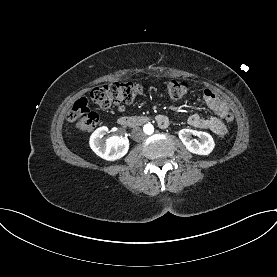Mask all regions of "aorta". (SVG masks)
Returning a JSON list of instances; mask_svg holds the SVG:
<instances>
[{"label": "aorta", "mask_w": 277, "mask_h": 277, "mask_svg": "<svg viewBox=\"0 0 277 277\" xmlns=\"http://www.w3.org/2000/svg\"><path fill=\"white\" fill-rule=\"evenodd\" d=\"M143 130L145 134L151 135L154 132V126L150 123L145 124Z\"/></svg>", "instance_id": "obj_1"}]
</instances>
